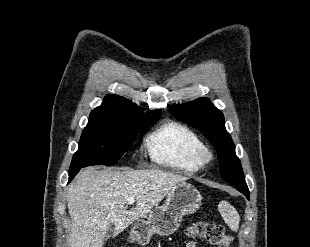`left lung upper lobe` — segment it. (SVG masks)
I'll return each mask as SVG.
<instances>
[{
  "label": "left lung upper lobe",
  "instance_id": "left-lung-upper-lobe-1",
  "mask_svg": "<svg viewBox=\"0 0 310 247\" xmlns=\"http://www.w3.org/2000/svg\"><path fill=\"white\" fill-rule=\"evenodd\" d=\"M171 113L180 121L202 131L218 153L221 177L228 183L245 181L231 136L225 129L223 114L206 98L183 105H173Z\"/></svg>",
  "mask_w": 310,
  "mask_h": 247
}]
</instances>
